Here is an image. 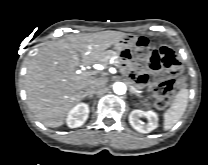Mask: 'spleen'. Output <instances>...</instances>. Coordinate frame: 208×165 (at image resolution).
<instances>
[{
  "label": "spleen",
  "instance_id": "3e777b00",
  "mask_svg": "<svg viewBox=\"0 0 208 165\" xmlns=\"http://www.w3.org/2000/svg\"><path fill=\"white\" fill-rule=\"evenodd\" d=\"M188 98V89L183 88L177 93L172 106L164 113V130L171 129L181 119L186 110Z\"/></svg>",
  "mask_w": 208,
  "mask_h": 165
}]
</instances>
